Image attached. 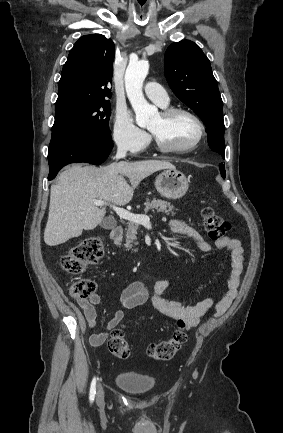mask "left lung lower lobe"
<instances>
[{
  "mask_svg": "<svg viewBox=\"0 0 283 433\" xmlns=\"http://www.w3.org/2000/svg\"><path fill=\"white\" fill-rule=\"evenodd\" d=\"M210 147L212 148L213 151L218 152L224 158V154L220 153L217 147H215V146H210ZM219 168H220V172H221L222 177L225 178V165L223 163H220Z\"/></svg>",
  "mask_w": 283,
  "mask_h": 433,
  "instance_id": "left-lung-lower-lobe-1",
  "label": "left lung lower lobe"
}]
</instances>
